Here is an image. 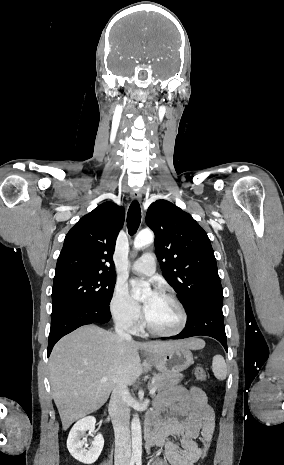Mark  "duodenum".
Masks as SVG:
<instances>
[{"mask_svg": "<svg viewBox=\"0 0 284 465\" xmlns=\"http://www.w3.org/2000/svg\"><path fill=\"white\" fill-rule=\"evenodd\" d=\"M145 435H146V437H149V435H148V433L146 431H145Z\"/></svg>", "mask_w": 284, "mask_h": 465, "instance_id": "1", "label": "duodenum"}]
</instances>
